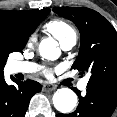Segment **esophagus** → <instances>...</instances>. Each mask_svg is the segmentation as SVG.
I'll return each instance as SVG.
<instances>
[{
    "label": "esophagus",
    "instance_id": "obj_1",
    "mask_svg": "<svg viewBox=\"0 0 117 117\" xmlns=\"http://www.w3.org/2000/svg\"><path fill=\"white\" fill-rule=\"evenodd\" d=\"M55 89H56V86L53 85V84L46 83V84L43 85V90L44 91H53Z\"/></svg>",
    "mask_w": 117,
    "mask_h": 117
}]
</instances>
